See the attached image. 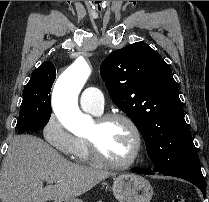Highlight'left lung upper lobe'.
I'll use <instances>...</instances> for the list:
<instances>
[{"label": "left lung upper lobe", "instance_id": "left-lung-upper-lobe-1", "mask_svg": "<svg viewBox=\"0 0 209 202\" xmlns=\"http://www.w3.org/2000/svg\"><path fill=\"white\" fill-rule=\"evenodd\" d=\"M100 73L112 101L142 134L155 171L170 172L197 154L177 83L158 52L130 44L110 53Z\"/></svg>", "mask_w": 209, "mask_h": 202}]
</instances>
